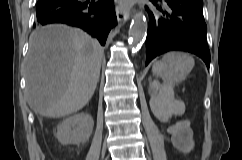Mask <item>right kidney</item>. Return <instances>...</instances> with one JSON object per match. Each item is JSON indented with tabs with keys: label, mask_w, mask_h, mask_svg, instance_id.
Instances as JSON below:
<instances>
[{
	"label": "right kidney",
	"mask_w": 242,
	"mask_h": 160,
	"mask_svg": "<svg viewBox=\"0 0 242 160\" xmlns=\"http://www.w3.org/2000/svg\"><path fill=\"white\" fill-rule=\"evenodd\" d=\"M94 121L87 113H78L65 119L58 127L56 138L63 144H80L89 140Z\"/></svg>",
	"instance_id": "ca27d5eb"
}]
</instances>
